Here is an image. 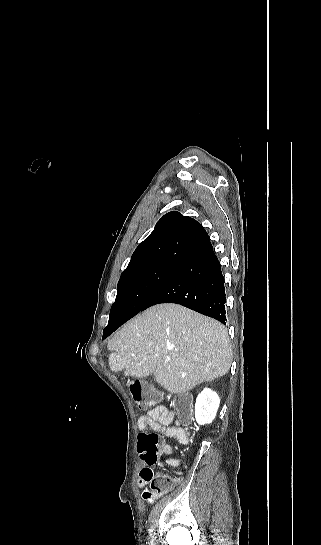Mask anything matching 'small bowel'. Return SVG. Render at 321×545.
Listing matches in <instances>:
<instances>
[{
  "label": "small bowel",
  "mask_w": 321,
  "mask_h": 545,
  "mask_svg": "<svg viewBox=\"0 0 321 545\" xmlns=\"http://www.w3.org/2000/svg\"><path fill=\"white\" fill-rule=\"evenodd\" d=\"M174 421V415L163 407H157L149 411L147 414L141 416L138 419V428L140 431H144L147 428L170 438H176L179 443L186 444L189 441V431L184 426H171ZM160 452L165 455H170L172 448L169 444L163 443L161 445ZM144 468L140 472L138 479V486L144 487L149 483V478L154 475L153 466L157 462V458L154 460H147L144 456ZM165 462L168 465L178 467L180 461L177 459H166ZM179 481V479H178Z\"/></svg>",
  "instance_id": "1"
}]
</instances>
